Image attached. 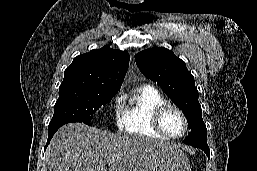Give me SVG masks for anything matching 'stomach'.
<instances>
[{
  "instance_id": "obj_1",
  "label": "stomach",
  "mask_w": 257,
  "mask_h": 171,
  "mask_svg": "<svg viewBox=\"0 0 257 171\" xmlns=\"http://www.w3.org/2000/svg\"><path fill=\"white\" fill-rule=\"evenodd\" d=\"M135 171H191V167L178 148L160 147L146 152Z\"/></svg>"
}]
</instances>
